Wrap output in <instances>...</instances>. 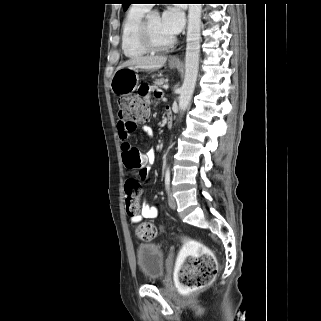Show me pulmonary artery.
I'll return each mask as SVG.
<instances>
[{
	"label": "pulmonary artery",
	"mask_w": 321,
	"mask_h": 321,
	"mask_svg": "<svg viewBox=\"0 0 321 321\" xmlns=\"http://www.w3.org/2000/svg\"><path fill=\"white\" fill-rule=\"evenodd\" d=\"M146 7H148V8H150L151 7V5L150 4H147V5H145Z\"/></svg>",
	"instance_id": "obj_1"
}]
</instances>
